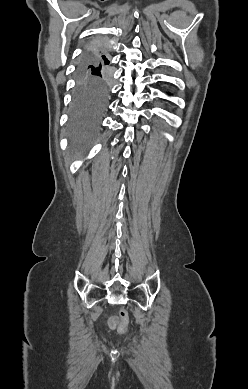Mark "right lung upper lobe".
<instances>
[{
    "instance_id": "cb5924a9",
    "label": "right lung upper lobe",
    "mask_w": 248,
    "mask_h": 389,
    "mask_svg": "<svg viewBox=\"0 0 248 389\" xmlns=\"http://www.w3.org/2000/svg\"><path fill=\"white\" fill-rule=\"evenodd\" d=\"M90 48H91V51H92V54H90V56L92 58L99 59L102 62H104L106 64L107 63L109 64V61L107 60L106 56L103 54L104 51H105V48H104L103 45H101V44H94Z\"/></svg>"
}]
</instances>
